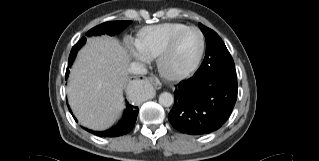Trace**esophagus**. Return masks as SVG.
I'll return each mask as SVG.
<instances>
[{"label": "esophagus", "instance_id": "34e87169", "mask_svg": "<svg viewBox=\"0 0 319 161\" xmlns=\"http://www.w3.org/2000/svg\"><path fill=\"white\" fill-rule=\"evenodd\" d=\"M140 79H142V80H147V78L144 77V76H142ZM156 85H157V84H156Z\"/></svg>", "mask_w": 319, "mask_h": 161}]
</instances>
